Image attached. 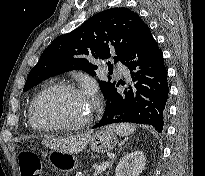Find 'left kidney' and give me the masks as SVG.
Segmentation results:
<instances>
[{"label": "left kidney", "mask_w": 205, "mask_h": 176, "mask_svg": "<svg viewBox=\"0 0 205 176\" xmlns=\"http://www.w3.org/2000/svg\"><path fill=\"white\" fill-rule=\"evenodd\" d=\"M145 156L141 151L126 154L117 164L116 176H139L145 169Z\"/></svg>", "instance_id": "5707ae66"}]
</instances>
